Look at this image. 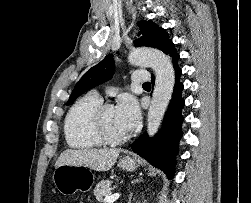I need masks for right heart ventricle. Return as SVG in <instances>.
<instances>
[{"mask_svg": "<svg viewBox=\"0 0 251 203\" xmlns=\"http://www.w3.org/2000/svg\"><path fill=\"white\" fill-rule=\"evenodd\" d=\"M101 103V98L88 93L69 108L64 120V134L71 148L88 150L102 145L91 126L93 113Z\"/></svg>", "mask_w": 251, "mask_h": 203, "instance_id": "right-heart-ventricle-1", "label": "right heart ventricle"}]
</instances>
